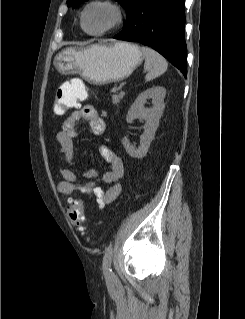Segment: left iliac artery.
Listing matches in <instances>:
<instances>
[{"instance_id": "44dca946", "label": "left iliac artery", "mask_w": 245, "mask_h": 319, "mask_svg": "<svg viewBox=\"0 0 245 319\" xmlns=\"http://www.w3.org/2000/svg\"><path fill=\"white\" fill-rule=\"evenodd\" d=\"M112 255H113L112 245H109L103 257V273H104V276L108 279L114 278V274L111 269Z\"/></svg>"}]
</instances>
